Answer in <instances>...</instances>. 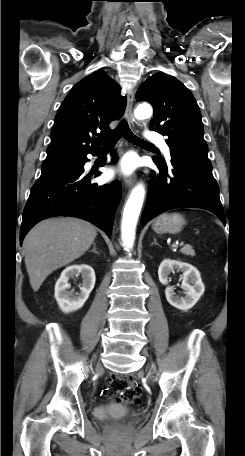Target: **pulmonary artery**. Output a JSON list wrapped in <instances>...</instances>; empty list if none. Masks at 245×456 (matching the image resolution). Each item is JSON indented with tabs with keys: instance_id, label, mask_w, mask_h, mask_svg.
Here are the masks:
<instances>
[{
	"instance_id": "obj_1",
	"label": "pulmonary artery",
	"mask_w": 245,
	"mask_h": 456,
	"mask_svg": "<svg viewBox=\"0 0 245 456\" xmlns=\"http://www.w3.org/2000/svg\"><path fill=\"white\" fill-rule=\"evenodd\" d=\"M145 137H146L147 141L155 142V143L159 144V146L161 147V149L163 150L165 155L167 157L170 156V149H169L168 145L166 144V142L164 141L163 137L159 133L154 132V131H148V132H146Z\"/></svg>"
}]
</instances>
